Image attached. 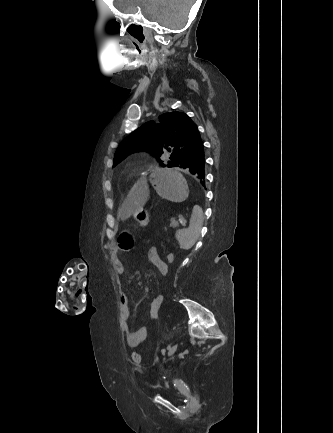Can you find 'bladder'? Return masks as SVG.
Listing matches in <instances>:
<instances>
[{
    "instance_id": "1",
    "label": "bladder",
    "mask_w": 333,
    "mask_h": 433,
    "mask_svg": "<svg viewBox=\"0 0 333 433\" xmlns=\"http://www.w3.org/2000/svg\"><path fill=\"white\" fill-rule=\"evenodd\" d=\"M161 390L165 393V394H167V395H169V396H171V397H174V398H178L179 397V395L176 393V392H173V391H171L169 388H167V387H161Z\"/></svg>"
}]
</instances>
